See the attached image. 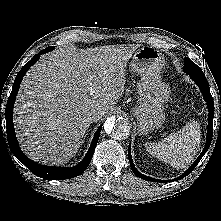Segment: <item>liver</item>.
Returning <instances> with one entry per match:
<instances>
[{"label": "liver", "mask_w": 221, "mask_h": 221, "mask_svg": "<svg viewBox=\"0 0 221 221\" xmlns=\"http://www.w3.org/2000/svg\"><path fill=\"white\" fill-rule=\"evenodd\" d=\"M139 46L60 49L33 65L14 105L16 135L26 155L52 165L75 156L90 115L104 116L122 97L127 63Z\"/></svg>", "instance_id": "1"}]
</instances>
